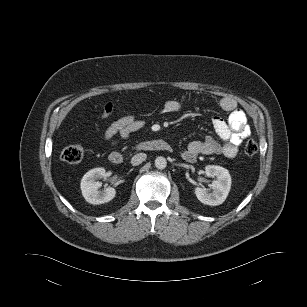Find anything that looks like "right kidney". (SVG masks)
Returning <instances> with one entry per match:
<instances>
[{
    "instance_id": "1",
    "label": "right kidney",
    "mask_w": 307,
    "mask_h": 307,
    "mask_svg": "<svg viewBox=\"0 0 307 307\" xmlns=\"http://www.w3.org/2000/svg\"><path fill=\"white\" fill-rule=\"evenodd\" d=\"M106 175V170L102 167L94 168L88 171L81 180L82 195L88 203L102 204L111 201L116 190L112 187L99 190L101 184L97 181L99 178Z\"/></svg>"
}]
</instances>
